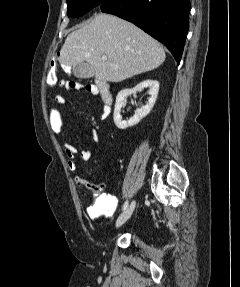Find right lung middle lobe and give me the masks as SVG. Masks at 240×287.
<instances>
[{"instance_id": "right-lung-middle-lobe-1", "label": "right lung middle lobe", "mask_w": 240, "mask_h": 287, "mask_svg": "<svg viewBox=\"0 0 240 287\" xmlns=\"http://www.w3.org/2000/svg\"><path fill=\"white\" fill-rule=\"evenodd\" d=\"M67 1V15L70 17H79L90 11L96 6H100L106 0H66Z\"/></svg>"}]
</instances>
